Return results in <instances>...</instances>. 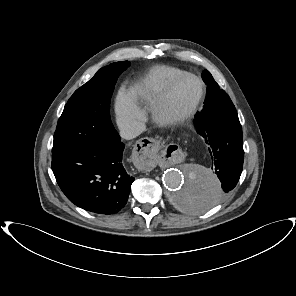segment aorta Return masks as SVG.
<instances>
[{"label": "aorta", "mask_w": 296, "mask_h": 296, "mask_svg": "<svg viewBox=\"0 0 296 296\" xmlns=\"http://www.w3.org/2000/svg\"><path fill=\"white\" fill-rule=\"evenodd\" d=\"M166 198L178 212L194 214L211 210L220 198V182L213 172L196 164H185L163 174Z\"/></svg>", "instance_id": "1"}]
</instances>
